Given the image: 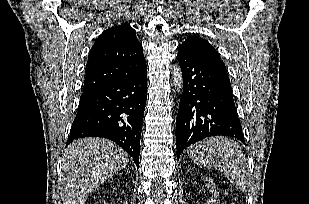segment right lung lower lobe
<instances>
[{
  "mask_svg": "<svg viewBox=\"0 0 309 204\" xmlns=\"http://www.w3.org/2000/svg\"><path fill=\"white\" fill-rule=\"evenodd\" d=\"M146 98V67L82 93L66 145L83 137L107 138L121 146L138 165Z\"/></svg>",
  "mask_w": 309,
  "mask_h": 204,
  "instance_id": "obj_1",
  "label": "right lung lower lobe"
}]
</instances>
